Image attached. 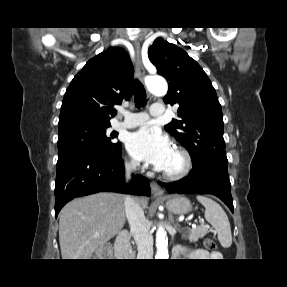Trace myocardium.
Here are the masks:
<instances>
[{"label":"myocardium","instance_id":"1","mask_svg":"<svg viewBox=\"0 0 287 287\" xmlns=\"http://www.w3.org/2000/svg\"><path fill=\"white\" fill-rule=\"evenodd\" d=\"M173 151L178 153L182 158V166L176 171H162V176L167 180H180L185 178L193 168V158L190 152L183 147H175Z\"/></svg>","mask_w":287,"mask_h":287}]
</instances>
